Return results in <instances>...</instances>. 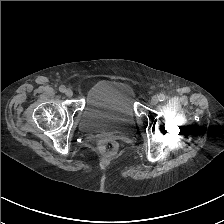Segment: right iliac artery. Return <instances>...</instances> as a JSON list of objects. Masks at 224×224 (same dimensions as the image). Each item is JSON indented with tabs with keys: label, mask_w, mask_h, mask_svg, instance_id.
Listing matches in <instances>:
<instances>
[{
	"label": "right iliac artery",
	"mask_w": 224,
	"mask_h": 224,
	"mask_svg": "<svg viewBox=\"0 0 224 224\" xmlns=\"http://www.w3.org/2000/svg\"><path fill=\"white\" fill-rule=\"evenodd\" d=\"M59 91L62 92V93H64L66 91V87L64 85H61L59 87Z\"/></svg>",
	"instance_id": "right-iliac-artery-1"
}]
</instances>
